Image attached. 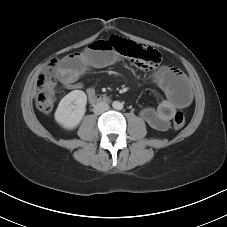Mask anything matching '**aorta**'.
Wrapping results in <instances>:
<instances>
[{
  "label": "aorta",
  "instance_id": "762f6f07",
  "mask_svg": "<svg viewBox=\"0 0 227 227\" xmlns=\"http://www.w3.org/2000/svg\"><path fill=\"white\" fill-rule=\"evenodd\" d=\"M113 108L116 110H121L122 109V103L118 102V101H114L112 104Z\"/></svg>",
  "mask_w": 227,
  "mask_h": 227
}]
</instances>
